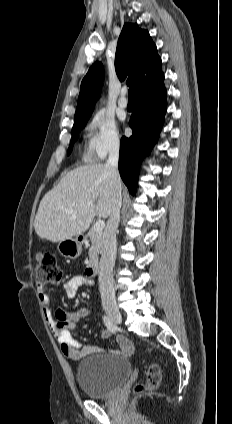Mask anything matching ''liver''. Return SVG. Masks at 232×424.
<instances>
[{
  "mask_svg": "<svg viewBox=\"0 0 232 424\" xmlns=\"http://www.w3.org/2000/svg\"><path fill=\"white\" fill-rule=\"evenodd\" d=\"M113 202L114 186L106 165L78 167L42 198L34 221L35 232L54 243L79 236L95 216L110 217Z\"/></svg>",
  "mask_w": 232,
  "mask_h": 424,
  "instance_id": "6515ba94",
  "label": "liver"
}]
</instances>
